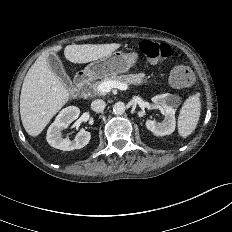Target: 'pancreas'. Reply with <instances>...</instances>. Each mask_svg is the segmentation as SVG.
<instances>
[{
  "label": "pancreas",
  "instance_id": "1",
  "mask_svg": "<svg viewBox=\"0 0 232 232\" xmlns=\"http://www.w3.org/2000/svg\"><path fill=\"white\" fill-rule=\"evenodd\" d=\"M106 81H118L127 84L140 85L145 83L146 79L145 73L106 76L103 80L97 81L90 85L95 95H105V93L98 91L97 88L101 83Z\"/></svg>",
  "mask_w": 232,
  "mask_h": 232
}]
</instances>
